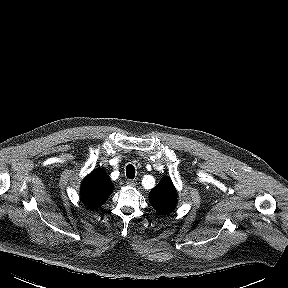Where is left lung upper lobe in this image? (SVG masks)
<instances>
[{"instance_id":"obj_1","label":"left lung upper lobe","mask_w":288,"mask_h":288,"mask_svg":"<svg viewBox=\"0 0 288 288\" xmlns=\"http://www.w3.org/2000/svg\"><path fill=\"white\" fill-rule=\"evenodd\" d=\"M149 199L152 206L161 214L172 212L177 204V193L169 177H164L150 191Z\"/></svg>"}]
</instances>
